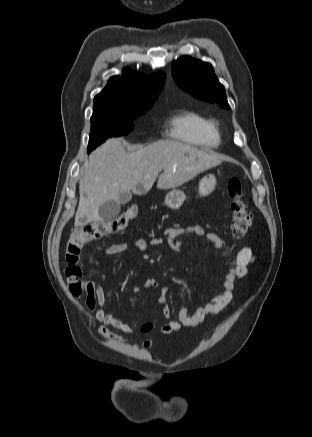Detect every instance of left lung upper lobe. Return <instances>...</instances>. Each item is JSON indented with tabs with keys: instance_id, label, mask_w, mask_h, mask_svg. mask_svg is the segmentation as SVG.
I'll return each instance as SVG.
<instances>
[{
	"instance_id": "obj_1",
	"label": "left lung upper lobe",
	"mask_w": 312,
	"mask_h": 437,
	"mask_svg": "<svg viewBox=\"0 0 312 437\" xmlns=\"http://www.w3.org/2000/svg\"><path fill=\"white\" fill-rule=\"evenodd\" d=\"M171 71L177 85L195 98L230 108L225 87L218 81L211 64L184 56L172 64Z\"/></svg>"
}]
</instances>
